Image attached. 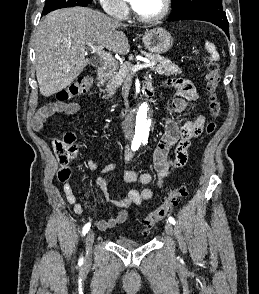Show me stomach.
<instances>
[{"mask_svg":"<svg viewBox=\"0 0 259 294\" xmlns=\"http://www.w3.org/2000/svg\"><path fill=\"white\" fill-rule=\"evenodd\" d=\"M142 43L147 50L158 55L171 49L173 38L165 29L153 28L144 33Z\"/></svg>","mask_w":259,"mask_h":294,"instance_id":"stomach-1","label":"stomach"}]
</instances>
